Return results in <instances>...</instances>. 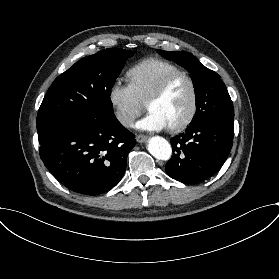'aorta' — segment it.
I'll return each mask as SVG.
<instances>
[{
    "label": "aorta",
    "instance_id": "obj_1",
    "mask_svg": "<svg viewBox=\"0 0 279 279\" xmlns=\"http://www.w3.org/2000/svg\"><path fill=\"white\" fill-rule=\"evenodd\" d=\"M149 153L158 160H169L172 154L170 143L159 136L152 137L148 142Z\"/></svg>",
    "mask_w": 279,
    "mask_h": 279
}]
</instances>
